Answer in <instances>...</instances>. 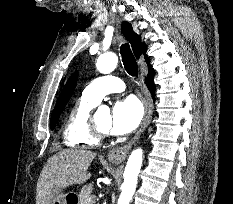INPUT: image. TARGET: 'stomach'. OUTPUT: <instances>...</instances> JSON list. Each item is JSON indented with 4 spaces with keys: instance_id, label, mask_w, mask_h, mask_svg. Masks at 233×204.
Listing matches in <instances>:
<instances>
[{
    "instance_id": "obj_1",
    "label": "stomach",
    "mask_w": 233,
    "mask_h": 204,
    "mask_svg": "<svg viewBox=\"0 0 233 204\" xmlns=\"http://www.w3.org/2000/svg\"><path fill=\"white\" fill-rule=\"evenodd\" d=\"M115 163H117L116 161H114ZM69 194L67 193H63L62 191H60L52 200L51 204H68L67 202V196Z\"/></svg>"
}]
</instances>
